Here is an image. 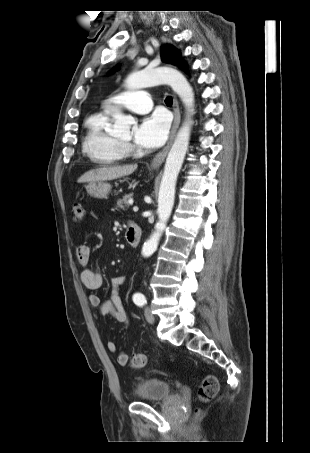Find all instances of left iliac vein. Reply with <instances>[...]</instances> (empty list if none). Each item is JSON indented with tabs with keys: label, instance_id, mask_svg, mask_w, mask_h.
<instances>
[{
	"label": "left iliac vein",
	"instance_id": "obj_1",
	"mask_svg": "<svg viewBox=\"0 0 310 453\" xmlns=\"http://www.w3.org/2000/svg\"><path fill=\"white\" fill-rule=\"evenodd\" d=\"M144 314H145V318L146 320L149 322V323H153L155 318H154V315L152 314L151 310L149 307H146L145 308V311H144Z\"/></svg>",
	"mask_w": 310,
	"mask_h": 453
}]
</instances>
